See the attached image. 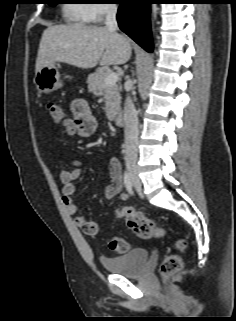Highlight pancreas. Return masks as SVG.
Instances as JSON below:
<instances>
[{
    "instance_id": "cf45deb5",
    "label": "pancreas",
    "mask_w": 236,
    "mask_h": 321,
    "mask_svg": "<svg viewBox=\"0 0 236 321\" xmlns=\"http://www.w3.org/2000/svg\"><path fill=\"white\" fill-rule=\"evenodd\" d=\"M110 71L102 68L97 72L90 74L87 79L89 90L98 97H105V112L108 119H114L117 111L120 110V90L121 87L117 84L106 85L104 80Z\"/></svg>"
}]
</instances>
